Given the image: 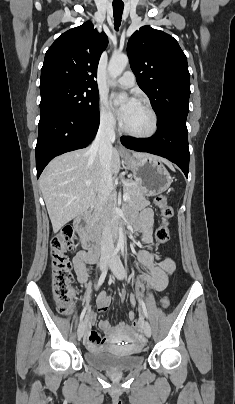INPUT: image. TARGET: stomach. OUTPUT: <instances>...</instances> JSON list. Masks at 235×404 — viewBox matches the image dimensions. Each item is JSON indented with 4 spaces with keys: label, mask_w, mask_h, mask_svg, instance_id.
Listing matches in <instances>:
<instances>
[{
    "label": "stomach",
    "mask_w": 235,
    "mask_h": 404,
    "mask_svg": "<svg viewBox=\"0 0 235 404\" xmlns=\"http://www.w3.org/2000/svg\"><path fill=\"white\" fill-rule=\"evenodd\" d=\"M124 160L146 195H159L170 187L172 177L160 158L145 154L141 157L125 156Z\"/></svg>",
    "instance_id": "1"
}]
</instances>
